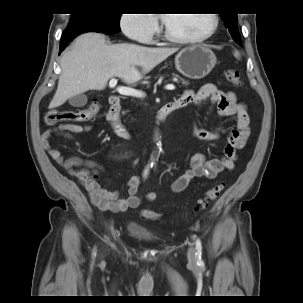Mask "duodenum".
<instances>
[{
    "mask_svg": "<svg viewBox=\"0 0 303 303\" xmlns=\"http://www.w3.org/2000/svg\"><path fill=\"white\" fill-rule=\"evenodd\" d=\"M110 108L107 113V119L109 122L113 124V130L122 139L129 138V132L127 128L121 123L118 122L120 118V110H121V99L119 96L112 95L109 98ZM182 105L178 101H173L165 106L158 112L156 120L157 122L162 121L166 118L173 110L181 108Z\"/></svg>",
    "mask_w": 303,
    "mask_h": 303,
    "instance_id": "duodenum-1",
    "label": "duodenum"
}]
</instances>
